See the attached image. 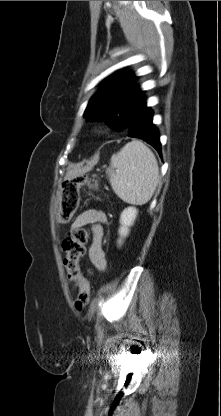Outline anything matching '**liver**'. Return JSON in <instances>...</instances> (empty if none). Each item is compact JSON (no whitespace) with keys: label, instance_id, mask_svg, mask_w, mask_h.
I'll list each match as a JSON object with an SVG mask.
<instances>
[{"label":"liver","instance_id":"liver-1","mask_svg":"<svg viewBox=\"0 0 221 416\" xmlns=\"http://www.w3.org/2000/svg\"><path fill=\"white\" fill-rule=\"evenodd\" d=\"M88 170H89L88 167L70 169V170L67 171L65 179L73 178L75 176H78L80 174H83V173L87 172Z\"/></svg>","mask_w":221,"mask_h":416}]
</instances>
